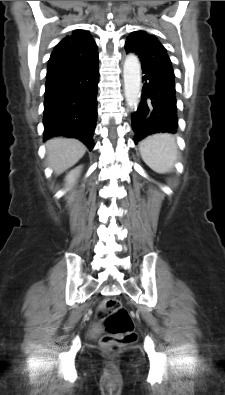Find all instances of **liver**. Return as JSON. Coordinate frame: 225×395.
I'll return each instance as SVG.
<instances>
[{
  "mask_svg": "<svg viewBox=\"0 0 225 395\" xmlns=\"http://www.w3.org/2000/svg\"><path fill=\"white\" fill-rule=\"evenodd\" d=\"M48 166L60 175L74 166L85 154L86 146L76 139L53 138L46 142Z\"/></svg>",
  "mask_w": 225,
  "mask_h": 395,
  "instance_id": "1",
  "label": "liver"
}]
</instances>
